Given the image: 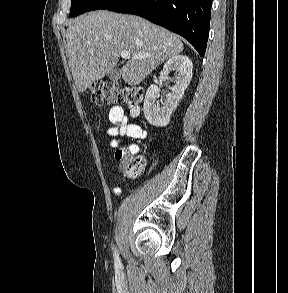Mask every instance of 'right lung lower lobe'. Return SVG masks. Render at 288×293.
<instances>
[{
  "label": "right lung lower lobe",
  "instance_id": "obj_1",
  "mask_svg": "<svg viewBox=\"0 0 288 293\" xmlns=\"http://www.w3.org/2000/svg\"><path fill=\"white\" fill-rule=\"evenodd\" d=\"M212 0H120L109 11L141 16L177 33L204 56Z\"/></svg>",
  "mask_w": 288,
  "mask_h": 293
}]
</instances>
